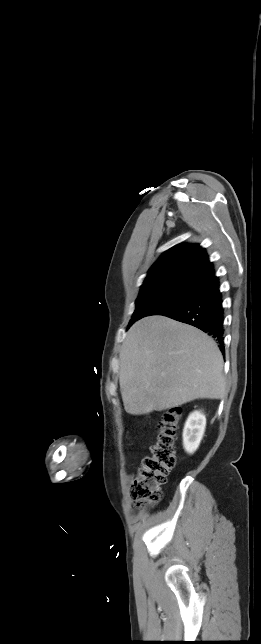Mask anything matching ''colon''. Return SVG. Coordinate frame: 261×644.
<instances>
[{"label":"colon","instance_id":"colon-1","mask_svg":"<svg viewBox=\"0 0 261 644\" xmlns=\"http://www.w3.org/2000/svg\"><path fill=\"white\" fill-rule=\"evenodd\" d=\"M180 419L181 409L177 407L162 414L156 442L151 445L150 454L142 460L131 485L137 507L154 505L161 500V487L176 463L175 445Z\"/></svg>","mask_w":261,"mask_h":644}]
</instances>
